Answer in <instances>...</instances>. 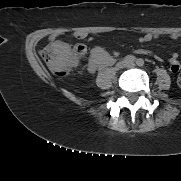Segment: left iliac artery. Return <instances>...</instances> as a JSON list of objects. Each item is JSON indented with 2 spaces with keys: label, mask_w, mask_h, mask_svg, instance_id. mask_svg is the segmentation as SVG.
Returning <instances> with one entry per match:
<instances>
[{
  "label": "left iliac artery",
  "mask_w": 181,
  "mask_h": 181,
  "mask_svg": "<svg viewBox=\"0 0 181 181\" xmlns=\"http://www.w3.org/2000/svg\"><path fill=\"white\" fill-rule=\"evenodd\" d=\"M136 63H137L138 66H143L144 65V60L143 59H138L136 61Z\"/></svg>",
  "instance_id": "1"
}]
</instances>
